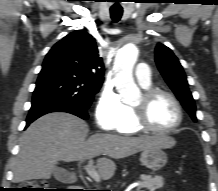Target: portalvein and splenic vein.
I'll return each mask as SVG.
<instances>
[{
	"label": "portal vein and splenic vein",
	"mask_w": 218,
	"mask_h": 191,
	"mask_svg": "<svg viewBox=\"0 0 218 191\" xmlns=\"http://www.w3.org/2000/svg\"><path fill=\"white\" fill-rule=\"evenodd\" d=\"M85 170L86 172L88 173V175L93 178L95 181L99 182L100 181V176L98 174V172L96 171V169L94 168L93 166V161L90 160L88 162V164L85 165ZM138 186V190L140 189V185H137Z\"/></svg>",
	"instance_id": "1"
}]
</instances>
